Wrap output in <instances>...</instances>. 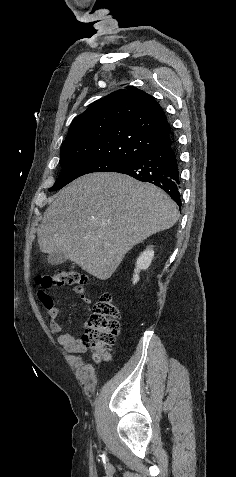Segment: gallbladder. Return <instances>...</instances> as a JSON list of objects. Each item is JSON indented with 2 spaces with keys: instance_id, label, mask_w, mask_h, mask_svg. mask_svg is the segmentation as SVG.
<instances>
[{
  "instance_id": "obj_1",
  "label": "gallbladder",
  "mask_w": 236,
  "mask_h": 477,
  "mask_svg": "<svg viewBox=\"0 0 236 477\" xmlns=\"http://www.w3.org/2000/svg\"><path fill=\"white\" fill-rule=\"evenodd\" d=\"M47 260L49 263L57 265L66 261V258L63 253H52L48 255Z\"/></svg>"
}]
</instances>
